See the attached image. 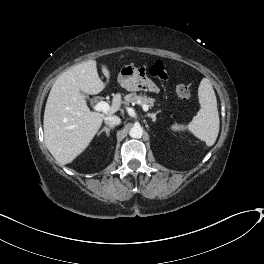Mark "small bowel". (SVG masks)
<instances>
[{
    "mask_svg": "<svg viewBox=\"0 0 264 264\" xmlns=\"http://www.w3.org/2000/svg\"><path fill=\"white\" fill-rule=\"evenodd\" d=\"M148 89L152 92H157V87L153 84H149L148 85Z\"/></svg>",
    "mask_w": 264,
    "mask_h": 264,
    "instance_id": "1",
    "label": "small bowel"
}]
</instances>
